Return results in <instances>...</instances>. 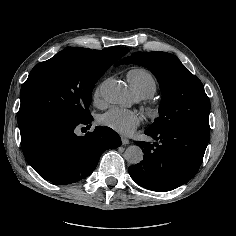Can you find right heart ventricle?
Listing matches in <instances>:
<instances>
[{
  "instance_id": "e07e8e85",
  "label": "right heart ventricle",
  "mask_w": 236,
  "mask_h": 236,
  "mask_svg": "<svg viewBox=\"0 0 236 236\" xmlns=\"http://www.w3.org/2000/svg\"><path fill=\"white\" fill-rule=\"evenodd\" d=\"M128 81L135 96L143 99L151 98L157 90V84L153 75L142 68H135L127 73Z\"/></svg>"
}]
</instances>
